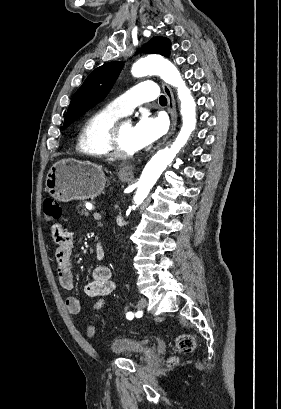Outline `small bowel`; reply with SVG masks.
<instances>
[{
    "label": "small bowel",
    "instance_id": "obj_1",
    "mask_svg": "<svg viewBox=\"0 0 281 409\" xmlns=\"http://www.w3.org/2000/svg\"><path fill=\"white\" fill-rule=\"evenodd\" d=\"M52 237L57 245L55 258L57 262L59 283L64 290H71L74 286L72 273L73 233L61 224H55L52 227ZM94 254L98 260L104 259L106 252L101 243L95 244ZM115 288L116 285L112 279L111 268L105 265H99L94 268L92 279L86 285V293L88 296L99 298V301L96 304V309L100 310L104 306L103 299L112 294ZM65 305L70 314L80 313L81 307L79 300L76 297H67Z\"/></svg>",
    "mask_w": 281,
    "mask_h": 409
}]
</instances>
